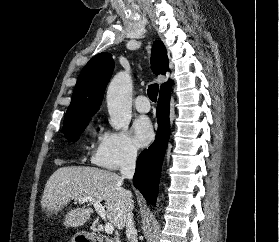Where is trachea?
Instances as JSON below:
<instances>
[{
	"label": "trachea",
	"instance_id": "trachea-1",
	"mask_svg": "<svg viewBox=\"0 0 279 242\" xmlns=\"http://www.w3.org/2000/svg\"><path fill=\"white\" fill-rule=\"evenodd\" d=\"M159 85L158 84H151L148 87V96L151 101L156 102L157 95H158Z\"/></svg>",
	"mask_w": 279,
	"mask_h": 242
}]
</instances>
